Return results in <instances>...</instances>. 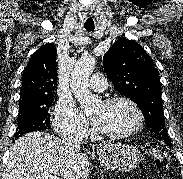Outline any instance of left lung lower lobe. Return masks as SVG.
I'll return each instance as SVG.
<instances>
[{
    "mask_svg": "<svg viewBox=\"0 0 183 179\" xmlns=\"http://www.w3.org/2000/svg\"><path fill=\"white\" fill-rule=\"evenodd\" d=\"M167 145H168L169 147H171V142H170V143H167Z\"/></svg>",
    "mask_w": 183,
    "mask_h": 179,
    "instance_id": "left-lung-lower-lobe-1",
    "label": "left lung lower lobe"
}]
</instances>
